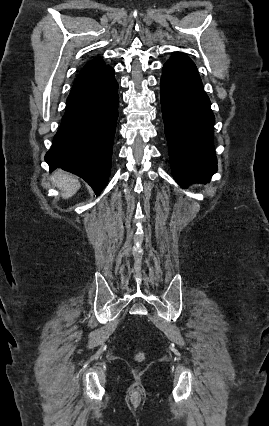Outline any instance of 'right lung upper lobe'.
Returning a JSON list of instances; mask_svg holds the SVG:
<instances>
[{
	"label": "right lung upper lobe",
	"instance_id": "cb5924a9",
	"mask_svg": "<svg viewBox=\"0 0 269 426\" xmlns=\"http://www.w3.org/2000/svg\"><path fill=\"white\" fill-rule=\"evenodd\" d=\"M103 66H105V63L101 60V59H99V58H96V59H93V60H91L90 62H88L83 68H82V70L80 71V73H85V72H90V71H94V70H97V69H100V68H102Z\"/></svg>",
	"mask_w": 269,
	"mask_h": 426
}]
</instances>
